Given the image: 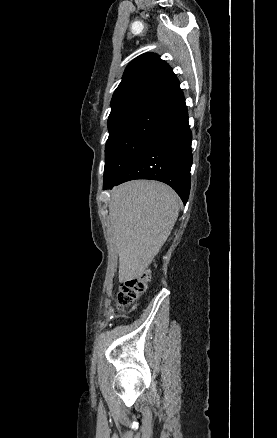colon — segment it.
Listing matches in <instances>:
<instances>
[{
	"mask_svg": "<svg viewBox=\"0 0 277 438\" xmlns=\"http://www.w3.org/2000/svg\"><path fill=\"white\" fill-rule=\"evenodd\" d=\"M146 276L147 274H144L140 278H131L122 283L117 296L118 310L122 311L124 307L131 305L137 297L145 293Z\"/></svg>",
	"mask_w": 277,
	"mask_h": 438,
	"instance_id": "1",
	"label": "colon"
}]
</instances>
